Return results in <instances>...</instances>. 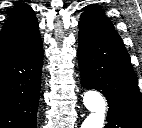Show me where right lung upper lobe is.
I'll return each mask as SVG.
<instances>
[{"label": "right lung upper lobe", "instance_id": "obj_1", "mask_svg": "<svg viewBox=\"0 0 142 128\" xmlns=\"http://www.w3.org/2000/svg\"><path fill=\"white\" fill-rule=\"evenodd\" d=\"M41 41L37 18L32 8L18 3L9 12L0 32V65L32 50Z\"/></svg>", "mask_w": 142, "mask_h": 128}]
</instances>
